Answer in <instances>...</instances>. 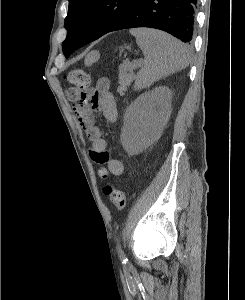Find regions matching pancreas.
Returning a JSON list of instances; mask_svg holds the SVG:
<instances>
[{"label": "pancreas", "mask_w": 245, "mask_h": 300, "mask_svg": "<svg viewBox=\"0 0 245 300\" xmlns=\"http://www.w3.org/2000/svg\"><path fill=\"white\" fill-rule=\"evenodd\" d=\"M132 69L131 66L129 67H123L120 69V74H119V84L120 87L118 88V91L123 94L124 91H126L127 86L132 82L133 78L131 75L127 72L128 70Z\"/></svg>", "instance_id": "obj_1"}]
</instances>
